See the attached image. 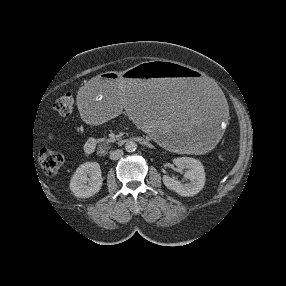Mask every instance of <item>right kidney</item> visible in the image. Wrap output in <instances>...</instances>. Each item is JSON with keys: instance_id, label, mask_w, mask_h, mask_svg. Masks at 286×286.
<instances>
[{"instance_id": "right-kidney-1", "label": "right kidney", "mask_w": 286, "mask_h": 286, "mask_svg": "<svg viewBox=\"0 0 286 286\" xmlns=\"http://www.w3.org/2000/svg\"><path fill=\"white\" fill-rule=\"evenodd\" d=\"M103 178L97 162H85L75 171L70 180V190L78 198H88L99 192Z\"/></svg>"}]
</instances>
